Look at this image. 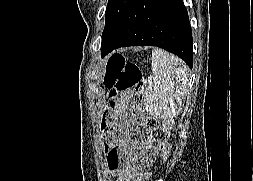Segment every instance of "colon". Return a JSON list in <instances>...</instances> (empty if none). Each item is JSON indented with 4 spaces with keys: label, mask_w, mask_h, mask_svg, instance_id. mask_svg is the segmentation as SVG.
<instances>
[{
    "label": "colon",
    "mask_w": 253,
    "mask_h": 181,
    "mask_svg": "<svg viewBox=\"0 0 253 181\" xmlns=\"http://www.w3.org/2000/svg\"><path fill=\"white\" fill-rule=\"evenodd\" d=\"M104 86L115 89L121 93H131L137 104H142L145 98L143 75L140 67L133 62H125L121 56L110 58L103 78ZM136 115L137 126L144 125L150 131V136L157 143L158 149L163 157L167 156L170 150L168 133L159 122L150 116Z\"/></svg>",
    "instance_id": "colon-1"
}]
</instances>
